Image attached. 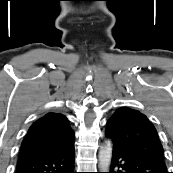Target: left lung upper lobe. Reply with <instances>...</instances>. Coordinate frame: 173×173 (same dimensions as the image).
<instances>
[{
	"instance_id": "1",
	"label": "left lung upper lobe",
	"mask_w": 173,
	"mask_h": 173,
	"mask_svg": "<svg viewBox=\"0 0 173 173\" xmlns=\"http://www.w3.org/2000/svg\"><path fill=\"white\" fill-rule=\"evenodd\" d=\"M105 135L112 139L113 149L165 165L164 150L157 131L139 111L127 107L117 109L107 121Z\"/></svg>"
}]
</instances>
